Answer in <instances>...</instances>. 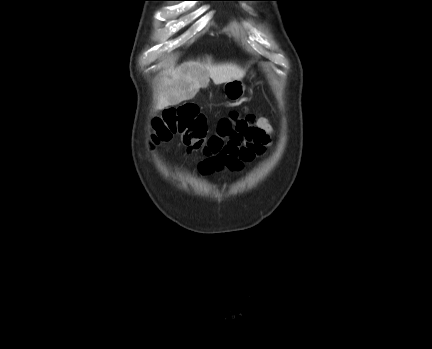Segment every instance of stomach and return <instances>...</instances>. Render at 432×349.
I'll return each instance as SVG.
<instances>
[{
	"label": "stomach",
	"instance_id": "obj_1",
	"mask_svg": "<svg viewBox=\"0 0 432 349\" xmlns=\"http://www.w3.org/2000/svg\"><path fill=\"white\" fill-rule=\"evenodd\" d=\"M223 90L229 101L237 102L244 95L245 85L242 80H232L224 84Z\"/></svg>",
	"mask_w": 432,
	"mask_h": 349
}]
</instances>
